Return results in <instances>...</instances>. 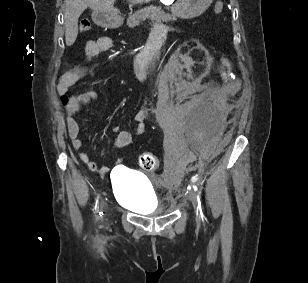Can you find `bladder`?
Wrapping results in <instances>:
<instances>
[{"instance_id":"1","label":"bladder","mask_w":308,"mask_h":283,"mask_svg":"<svg viewBox=\"0 0 308 283\" xmlns=\"http://www.w3.org/2000/svg\"><path fill=\"white\" fill-rule=\"evenodd\" d=\"M111 185L115 199L124 207L146 215L164 212L146 175L127 167H116L111 172Z\"/></svg>"}]
</instances>
